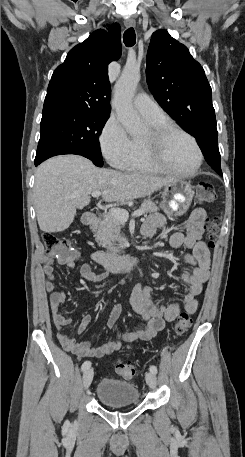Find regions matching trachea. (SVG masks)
Returning a JSON list of instances; mask_svg holds the SVG:
<instances>
[{
    "label": "trachea",
    "instance_id": "trachea-1",
    "mask_svg": "<svg viewBox=\"0 0 245 457\" xmlns=\"http://www.w3.org/2000/svg\"><path fill=\"white\" fill-rule=\"evenodd\" d=\"M123 41L127 47H133L136 42V35L134 29L128 28L123 35Z\"/></svg>",
    "mask_w": 245,
    "mask_h": 457
}]
</instances>
